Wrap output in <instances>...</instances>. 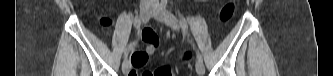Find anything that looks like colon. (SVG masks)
<instances>
[{"mask_svg": "<svg viewBox=\"0 0 333 76\" xmlns=\"http://www.w3.org/2000/svg\"><path fill=\"white\" fill-rule=\"evenodd\" d=\"M235 4L233 2H229L225 4L220 13V20L222 22H227L233 16L235 12ZM190 54L186 53L184 55V59H189ZM142 76H173V70L170 66H161L153 71H146L141 74ZM129 76H137L136 71L132 70L129 73Z\"/></svg>", "mask_w": 333, "mask_h": 76, "instance_id": "5ec220e1", "label": "colon"}]
</instances>
